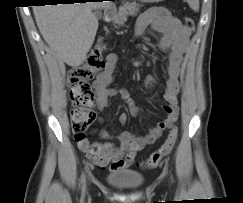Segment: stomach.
Listing matches in <instances>:
<instances>
[{"label": "stomach", "mask_w": 243, "mask_h": 203, "mask_svg": "<svg viewBox=\"0 0 243 203\" xmlns=\"http://www.w3.org/2000/svg\"><path fill=\"white\" fill-rule=\"evenodd\" d=\"M142 2H146V3H157V2H161L163 0H141Z\"/></svg>", "instance_id": "0dacf381"}]
</instances>
